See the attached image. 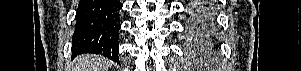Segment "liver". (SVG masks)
Listing matches in <instances>:
<instances>
[{
  "label": "liver",
  "mask_w": 301,
  "mask_h": 71,
  "mask_svg": "<svg viewBox=\"0 0 301 71\" xmlns=\"http://www.w3.org/2000/svg\"><path fill=\"white\" fill-rule=\"evenodd\" d=\"M112 63L101 56L87 54L77 59V71H108Z\"/></svg>",
  "instance_id": "1"
}]
</instances>
